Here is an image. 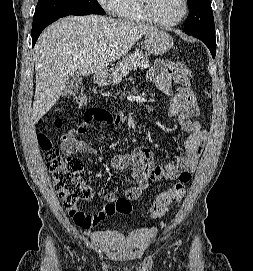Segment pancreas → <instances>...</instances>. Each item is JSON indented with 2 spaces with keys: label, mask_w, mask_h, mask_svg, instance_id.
<instances>
[{
  "label": "pancreas",
  "mask_w": 253,
  "mask_h": 271,
  "mask_svg": "<svg viewBox=\"0 0 253 271\" xmlns=\"http://www.w3.org/2000/svg\"><path fill=\"white\" fill-rule=\"evenodd\" d=\"M149 67V60L146 55L138 51L127 55L119 61L115 67L113 74V83L119 84L122 78L127 76L129 71L135 69H146Z\"/></svg>",
  "instance_id": "obj_1"
}]
</instances>
